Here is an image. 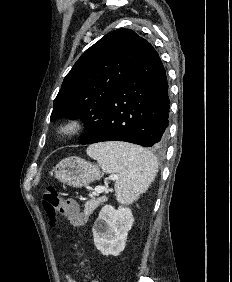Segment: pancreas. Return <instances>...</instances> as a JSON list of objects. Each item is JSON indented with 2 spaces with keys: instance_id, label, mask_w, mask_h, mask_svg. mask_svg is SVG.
Masks as SVG:
<instances>
[{
  "instance_id": "1",
  "label": "pancreas",
  "mask_w": 232,
  "mask_h": 282,
  "mask_svg": "<svg viewBox=\"0 0 232 282\" xmlns=\"http://www.w3.org/2000/svg\"><path fill=\"white\" fill-rule=\"evenodd\" d=\"M104 201L102 198H93L84 205V214L90 216L93 211Z\"/></svg>"
}]
</instances>
